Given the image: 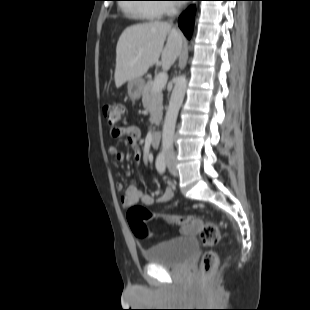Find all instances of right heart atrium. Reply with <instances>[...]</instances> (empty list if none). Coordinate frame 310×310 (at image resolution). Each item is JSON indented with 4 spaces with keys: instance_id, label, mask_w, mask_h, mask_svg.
Segmentation results:
<instances>
[{
    "instance_id": "d8ad5b80",
    "label": "right heart atrium",
    "mask_w": 310,
    "mask_h": 310,
    "mask_svg": "<svg viewBox=\"0 0 310 310\" xmlns=\"http://www.w3.org/2000/svg\"><path fill=\"white\" fill-rule=\"evenodd\" d=\"M160 2H162V3L158 4L157 8L160 9L161 14L162 13H170L174 10V5H173L172 1L162 0Z\"/></svg>"
}]
</instances>
